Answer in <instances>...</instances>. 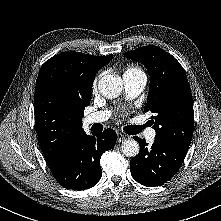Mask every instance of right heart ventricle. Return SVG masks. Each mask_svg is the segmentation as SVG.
I'll list each match as a JSON object with an SVG mask.
<instances>
[{
  "label": "right heart ventricle",
  "instance_id": "1",
  "mask_svg": "<svg viewBox=\"0 0 221 221\" xmlns=\"http://www.w3.org/2000/svg\"><path fill=\"white\" fill-rule=\"evenodd\" d=\"M124 73H127V74H144L145 75L143 70L138 65H135V64H131V65L127 66Z\"/></svg>",
  "mask_w": 221,
  "mask_h": 221
}]
</instances>
